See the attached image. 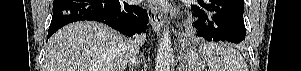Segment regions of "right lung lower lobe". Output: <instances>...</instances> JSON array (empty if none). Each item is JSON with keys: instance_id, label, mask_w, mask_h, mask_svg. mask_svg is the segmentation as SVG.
Listing matches in <instances>:
<instances>
[{"instance_id": "right-lung-lower-lobe-1", "label": "right lung lower lobe", "mask_w": 301, "mask_h": 71, "mask_svg": "<svg viewBox=\"0 0 301 71\" xmlns=\"http://www.w3.org/2000/svg\"><path fill=\"white\" fill-rule=\"evenodd\" d=\"M80 20L102 22L131 37L146 31L148 18L145 9L123 0H54L47 38L64 25Z\"/></svg>"}]
</instances>
